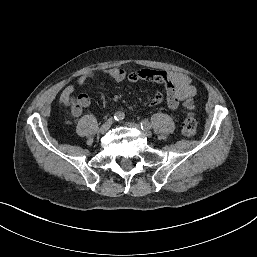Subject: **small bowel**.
Listing matches in <instances>:
<instances>
[{
	"label": "small bowel",
	"mask_w": 257,
	"mask_h": 257,
	"mask_svg": "<svg viewBox=\"0 0 257 257\" xmlns=\"http://www.w3.org/2000/svg\"><path fill=\"white\" fill-rule=\"evenodd\" d=\"M108 77L116 82H138L149 81L163 85L164 92L158 91L150 101V106H157L166 98L170 110H186L189 108L197 95V89L187 75L175 72L152 68H142L137 71L127 72L123 68H105L99 72L86 73L78 77L77 85L84 86L87 82L98 77ZM74 86L67 85L61 92L60 100L64 104H70L71 113L79 117L83 109L91 103V96L87 93L80 94L76 99L73 97Z\"/></svg>",
	"instance_id": "c3829d8e"
}]
</instances>
